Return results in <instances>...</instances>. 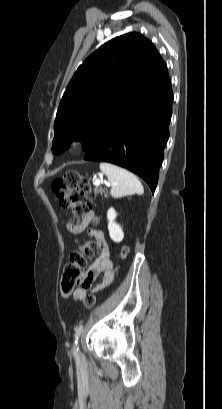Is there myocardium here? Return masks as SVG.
Returning <instances> with one entry per match:
<instances>
[{
    "label": "myocardium",
    "instance_id": "obj_1",
    "mask_svg": "<svg viewBox=\"0 0 222 409\" xmlns=\"http://www.w3.org/2000/svg\"><path fill=\"white\" fill-rule=\"evenodd\" d=\"M84 145V138L81 136L72 137L67 144L70 151H77Z\"/></svg>",
    "mask_w": 222,
    "mask_h": 409
}]
</instances>
